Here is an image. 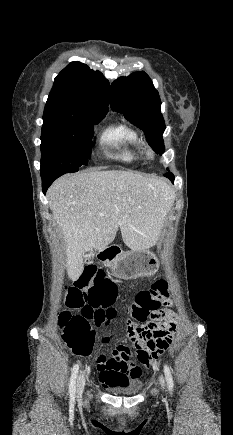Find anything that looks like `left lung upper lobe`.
I'll list each match as a JSON object with an SVG mask.
<instances>
[{
    "mask_svg": "<svg viewBox=\"0 0 233 435\" xmlns=\"http://www.w3.org/2000/svg\"><path fill=\"white\" fill-rule=\"evenodd\" d=\"M110 106L143 130L149 145L157 154L164 153L162 134L165 123L160 112L161 100L144 71L121 77L111 84Z\"/></svg>",
    "mask_w": 233,
    "mask_h": 435,
    "instance_id": "left-lung-upper-lobe-1",
    "label": "left lung upper lobe"
}]
</instances>
